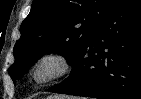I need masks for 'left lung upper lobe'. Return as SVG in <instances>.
Returning a JSON list of instances; mask_svg holds the SVG:
<instances>
[{
  "label": "left lung upper lobe",
  "instance_id": "obj_1",
  "mask_svg": "<svg viewBox=\"0 0 141 99\" xmlns=\"http://www.w3.org/2000/svg\"><path fill=\"white\" fill-rule=\"evenodd\" d=\"M118 0H34L14 46L8 72L15 82L43 54L59 53L76 66L92 33Z\"/></svg>",
  "mask_w": 141,
  "mask_h": 99
}]
</instances>
